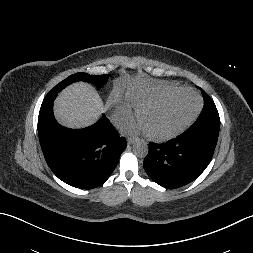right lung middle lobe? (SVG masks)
Instances as JSON below:
<instances>
[{"label": "right lung middle lobe", "instance_id": "right-lung-middle-lobe-1", "mask_svg": "<svg viewBox=\"0 0 253 253\" xmlns=\"http://www.w3.org/2000/svg\"><path fill=\"white\" fill-rule=\"evenodd\" d=\"M108 78H109V75H107V74H105V75H89V74L83 73V72L75 73V74L67 77L65 80L61 81L59 84H57L49 92V94L58 93L67 85L71 84L72 82L78 81V80H83V81L92 83L94 85L101 86L106 83Z\"/></svg>", "mask_w": 253, "mask_h": 253}]
</instances>
